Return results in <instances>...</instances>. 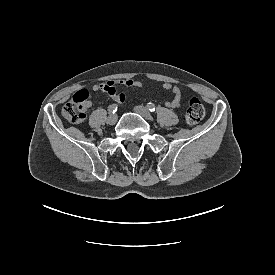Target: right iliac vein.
Wrapping results in <instances>:
<instances>
[{
    "label": "right iliac vein",
    "instance_id": "1",
    "mask_svg": "<svg viewBox=\"0 0 275 275\" xmlns=\"http://www.w3.org/2000/svg\"><path fill=\"white\" fill-rule=\"evenodd\" d=\"M116 122H117V115H115V114L110 115L107 119V123L109 125H114V124H116Z\"/></svg>",
    "mask_w": 275,
    "mask_h": 275
}]
</instances>
